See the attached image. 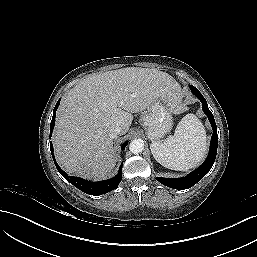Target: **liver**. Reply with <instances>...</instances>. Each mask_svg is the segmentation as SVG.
Returning a JSON list of instances; mask_svg holds the SVG:
<instances>
[{
  "label": "liver",
  "mask_w": 257,
  "mask_h": 257,
  "mask_svg": "<svg viewBox=\"0 0 257 257\" xmlns=\"http://www.w3.org/2000/svg\"><path fill=\"white\" fill-rule=\"evenodd\" d=\"M179 87L167 73L127 67L92 75L73 87L57 111L52 137L56 159L69 174L100 179L113 170L117 156L111 130L128 131L133 115L155 99L182 112Z\"/></svg>",
  "instance_id": "obj_1"
}]
</instances>
